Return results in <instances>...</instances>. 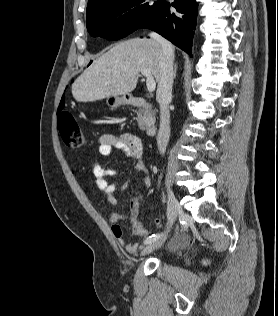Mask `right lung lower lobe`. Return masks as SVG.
I'll use <instances>...</instances> for the list:
<instances>
[{"label": "right lung lower lobe", "mask_w": 278, "mask_h": 316, "mask_svg": "<svg viewBox=\"0 0 278 316\" xmlns=\"http://www.w3.org/2000/svg\"><path fill=\"white\" fill-rule=\"evenodd\" d=\"M170 6L178 13H171ZM196 16L195 0H175L171 4L160 0L153 14L139 28L152 29L191 55Z\"/></svg>", "instance_id": "1"}]
</instances>
